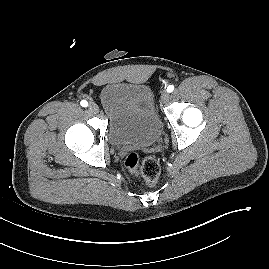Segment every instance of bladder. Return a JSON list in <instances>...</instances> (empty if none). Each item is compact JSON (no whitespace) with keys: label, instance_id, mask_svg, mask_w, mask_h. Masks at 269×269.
<instances>
[{"label":"bladder","instance_id":"1","mask_svg":"<svg viewBox=\"0 0 269 269\" xmlns=\"http://www.w3.org/2000/svg\"><path fill=\"white\" fill-rule=\"evenodd\" d=\"M100 101L108 115V135L115 146L149 147L162 134L151 89L144 84L116 82L106 84Z\"/></svg>","mask_w":269,"mask_h":269}]
</instances>
